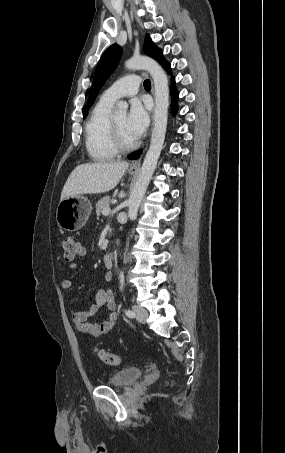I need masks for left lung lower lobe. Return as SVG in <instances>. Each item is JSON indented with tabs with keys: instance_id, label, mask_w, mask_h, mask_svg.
<instances>
[{
	"instance_id": "obj_1",
	"label": "left lung lower lobe",
	"mask_w": 285,
	"mask_h": 453,
	"mask_svg": "<svg viewBox=\"0 0 285 453\" xmlns=\"http://www.w3.org/2000/svg\"><path fill=\"white\" fill-rule=\"evenodd\" d=\"M158 61L166 70H170V64L164 59L163 56H161L158 59ZM171 91H172V94H173L172 111H173V113H175L177 111L178 93H177V90H176L175 85H174V80L172 82ZM141 153H142V150L136 151V152L131 153L130 155H128V158L129 159H137L140 156Z\"/></svg>"
}]
</instances>
